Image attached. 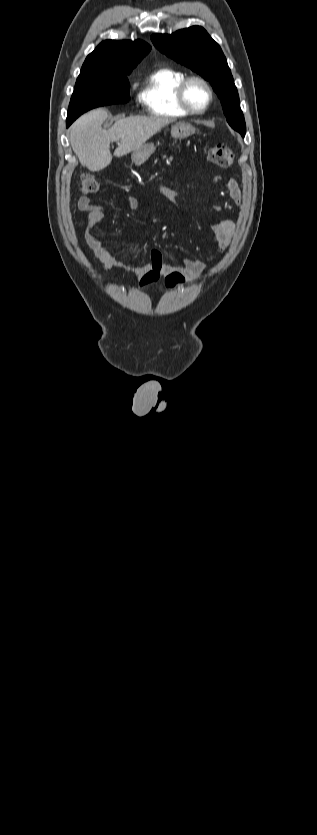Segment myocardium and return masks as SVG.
Segmentation results:
<instances>
[{
  "instance_id": "1",
  "label": "myocardium",
  "mask_w": 317,
  "mask_h": 835,
  "mask_svg": "<svg viewBox=\"0 0 317 835\" xmlns=\"http://www.w3.org/2000/svg\"><path fill=\"white\" fill-rule=\"evenodd\" d=\"M193 82H198V83L202 84L208 92V100H207L206 104L200 109L194 108L190 104V102L188 101V98H187L188 87ZM177 97H178V101H179L180 106L188 114L200 115V114L205 113L209 109V107L211 106V104L213 102V99H214V91H213V88H212L211 84L209 83V81L206 80L205 78H203L201 76H196V75L186 76L185 79L181 82V84L178 87Z\"/></svg>"
}]
</instances>
